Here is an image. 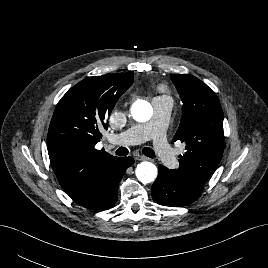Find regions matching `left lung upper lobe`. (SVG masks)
I'll list each match as a JSON object with an SVG mask.
<instances>
[{
  "instance_id": "left-lung-upper-lobe-1",
  "label": "left lung upper lobe",
  "mask_w": 268,
  "mask_h": 268,
  "mask_svg": "<svg viewBox=\"0 0 268 268\" xmlns=\"http://www.w3.org/2000/svg\"><path fill=\"white\" fill-rule=\"evenodd\" d=\"M181 100L182 118L174 141L185 143V153L173 174L192 188L203 191L223 154V114L215 92L192 75L172 74Z\"/></svg>"
}]
</instances>
